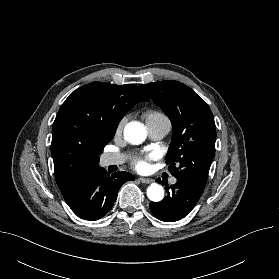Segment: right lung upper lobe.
<instances>
[{
  "label": "right lung upper lobe",
  "instance_id": "cb5924a9",
  "mask_svg": "<svg viewBox=\"0 0 279 279\" xmlns=\"http://www.w3.org/2000/svg\"><path fill=\"white\" fill-rule=\"evenodd\" d=\"M149 97L132 84L92 82L75 90L60 107L52 127L51 152L57 185L66 202L99 163L125 113Z\"/></svg>",
  "mask_w": 279,
  "mask_h": 279
}]
</instances>
